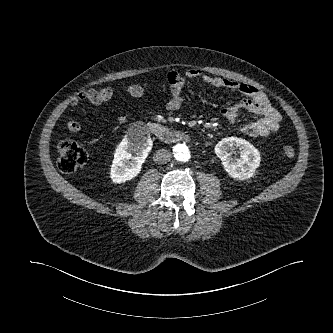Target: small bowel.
<instances>
[{"mask_svg": "<svg viewBox=\"0 0 333 333\" xmlns=\"http://www.w3.org/2000/svg\"><path fill=\"white\" fill-rule=\"evenodd\" d=\"M197 78L214 88L237 91L246 96L244 99L229 104L221 111L223 117L230 123L236 122L239 112L243 109L258 116L257 120L240 125L239 130L244 135L249 137H266L279 129L281 115L270 104L263 91L254 86L231 79L206 75L196 68H190L184 74L177 72L168 74L167 81L170 88V97L166 106L169 110H178L184 104L185 98L181 95V92L187 85L188 80ZM125 92L132 97L139 98L143 95L144 90L137 84H131L125 87ZM113 94L114 92L110 87L98 90L89 89L74 96L70 101V105L76 106L83 101L99 105L110 100ZM67 128L71 132H78L81 129V125L77 120L70 117L67 121Z\"/></svg>", "mask_w": 333, "mask_h": 333, "instance_id": "obj_1", "label": "small bowel"}]
</instances>
